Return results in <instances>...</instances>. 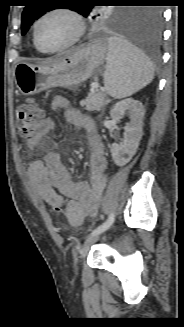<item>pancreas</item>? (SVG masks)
<instances>
[{
  "label": "pancreas",
  "mask_w": 184,
  "mask_h": 327,
  "mask_svg": "<svg viewBox=\"0 0 184 327\" xmlns=\"http://www.w3.org/2000/svg\"><path fill=\"white\" fill-rule=\"evenodd\" d=\"M105 92L96 89L90 91L86 99L80 101L81 106H85L88 111H100L105 105Z\"/></svg>",
  "instance_id": "cf45deb5"
}]
</instances>
